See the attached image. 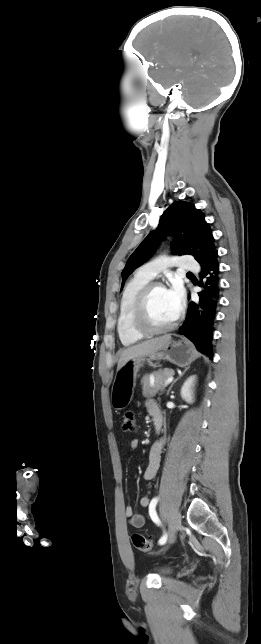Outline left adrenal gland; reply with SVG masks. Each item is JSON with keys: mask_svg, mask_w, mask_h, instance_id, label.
Returning <instances> with one entry per match:
<instances>
[{"mask_svg": "<svg viewBox=\"0 0 261 644\" xmlns=\"http://www.w3.org/2000/svg\"><path fill=\"white\" fill-rule=\"evenodd\" d=\"M186 371H187V369H186V370H184V372H183V373H182L178 378H176V379L172 382V384L170 385V387H169V389H168V391H167V395H169V392L171 391V389H172L173 385H174V384H175V383H176V382H177V381H178V380H179V379H180V378L185 374V372H186Z\"/></svg>", "mask_w": 261, "mask_h": 644, "instance_id": "obj_1", "label": "left adrenal gland"}]
</instances>
